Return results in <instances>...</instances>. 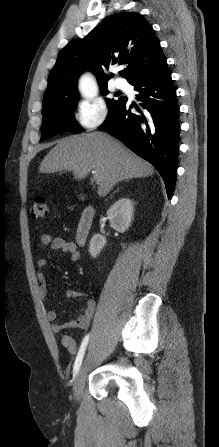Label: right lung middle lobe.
<instances>
[{
	"instance_id": "right-lung-middle-lobe-1",
	"label": "right lung middle lobe",
	"mask_w": 219,
	"mask_h": 447,
	"mask_svg": "<svg viewBox=\"0 0 219 447\" xmlns=\"http://www.w3.org/2000/svg\"><path fill=\"white\" fill-rule=\"evenodd\" d=\"M102 95L109 94L107 85L101 86ZM77 95H58L43 99L41 140L64 131H81L82 128L74 118V108L77 104ZM124 97L106 99L109 111L112 110Z\"/></svg>"
}]
</instances>
